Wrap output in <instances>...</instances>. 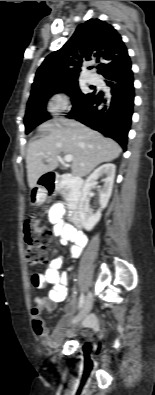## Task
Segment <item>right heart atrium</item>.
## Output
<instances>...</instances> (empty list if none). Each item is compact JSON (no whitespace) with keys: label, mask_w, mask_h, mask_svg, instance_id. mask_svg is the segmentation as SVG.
<instances>
[{"label":"right heart atrium","mask_w":155,"mask_h":395,"mask_svg":"<svg viewBox=\"0 0 155 395\" xmlns=\"http://www.w3.org/2000/svg\"><path fill=\"white\" fill-rule=\"evenodd\" d=\"M69 107V98L65 93H57L52 96L48 103V112L53 115H59L65 112Z\"/></svg>","instance_id":"right-heart-atrium-1"}]
</instances>
